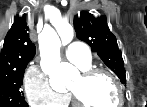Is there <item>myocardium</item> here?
<instances>
[{"label":"myocardium","mask_w":147,"mask_h":107,"mask_svg":"<svg viewBox=\"0 0 147 107\" xmlns=\"http://www.w3.org/2000/svg\"><path fill=\"white\" fill-rule=\"evenodd\" d=\"M97 75H105L112 81V83L115 86L116 92H117V101H116V104L112 107L121 106L123 104V89H122V85L120 81L118 80L117 76L114 73L104 68L91 67V68H86L85 70H83L81 77L84 80H90ZM71 96L73 99V104L76 107H89L85 103L82 102V100L79 98V96L74 91H71Z\"/></svg>","instance_id":"myocardium-1"}]
</instances>
